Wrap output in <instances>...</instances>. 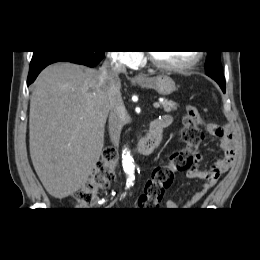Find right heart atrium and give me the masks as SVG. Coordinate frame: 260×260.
Segmentation results:
<instances>
[{
    "label": "right heart atrium",
    "mask_w": 260,
    "mask_h": 260,
    "mask_svg": "<svg viewBox=\"0 0 260 260\" xmlns=\"http://www.w3.org/2000/svg\"><path fill=\"white\" fill-rule=\"evenodd\" d=\"M114 58L120 64L133 67L140 64L143 57L138 51H121L114 53Z\"/></svg>",
    "instance_id": "d8ad5b80"
}]
</instances>
